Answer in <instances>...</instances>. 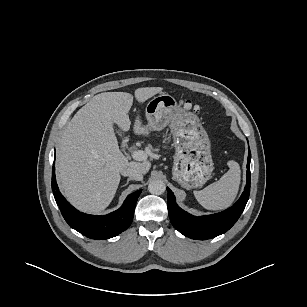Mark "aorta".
Returning a JSON list of instances; mask_svg holds the SVG:
<instances>
[{
    "instance_id": "1",
    "label": "aorta",
    "mask_w": 307,
    "mask_h": 307,
    "mask_svg": "<svg viewBox=\"0 0 307 307\" xmlns=\"http://www.w3.org/2000/svg\"><path fill=\"white\" fill-rule=\"evenodd\" d=\"M165 190L166 186L163 181L156 179L149 182L148 191L151 194L161 195L165 192Z\"/></svg>"
}]
</instances>
